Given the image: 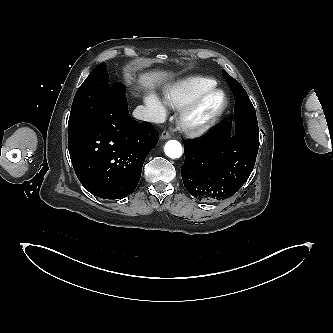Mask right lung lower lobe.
I'll list each match as a JSON object with an SVG mask.
<instances>
[{
  "label": "right lung lower lobe",
  "instance_id": "1",
  "mask_svg": "<svg viewBox=\"0 0 333 333\" xmlns=\"http://www.w3.org/2000/svg\"><path fill=\"white\" fill-rule=\"evenodd\" d=\"M158 134L146 121L133 120L121 83L80 129L68 133L69 154L81 184L93 195L120 199L136 188Z\"/></svg>",
  "mask_w": 333,
  "mask_h": 333
}]
</instances>
